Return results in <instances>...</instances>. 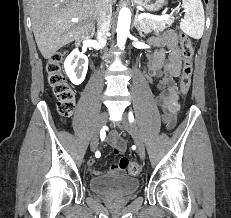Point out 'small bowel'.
<instances>
[{
  "instance_id": "small-bowel-1",
  "label": "small bowel",
  "mask_w": 231,
  "mask_h": 218,
  "mask_svg": "<svg viewBox=\"0 0 231 218\" xmlns=\"http://www.w3.org/2000/svg\"><path fill=\"white\" fill-rule=\"evenodd\" d=\"M153 43L156 50L150 54V62L145 71V77L151 85H154V79L158 78L156 88L159 91L156 96V103L162 109V119L168 129L175 126V116L179 110V93L175 79L181 75L182 57L177 45V37L171 30H167L162 36L154 38ZM165 49H168V61H165ZM108 142L113 148L120 151L125 149L124 142L116 132H111L108 136ZM98 158V157H96ZM120 160H114L111 164L109 174L122 175L125 169L120 166ZM96 161L91 159L89 167L92 173L99 175L100 171L95 168Z\"/></svg>"
}]
</instances>
